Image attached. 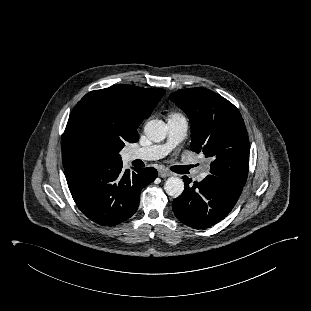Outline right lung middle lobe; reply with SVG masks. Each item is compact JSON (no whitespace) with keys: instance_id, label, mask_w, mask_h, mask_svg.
<instances>
[{"instance_id":"right-lung-middle-lobe-1","label":"right lung middle lobe","mask_w":311,"mask_h":311,"mask_svg":"<svg viewBox=\"0 0 311 311\" xmlns=\"http://www.w3.org/2000/svg\"><path fill=\"white\" fill-rule=\"evenodd\" d=\"M124 142L105 121L96 106L72 111L62 140V161L66 168H84L122 162Z\"/></svg>"}]
</instances>
